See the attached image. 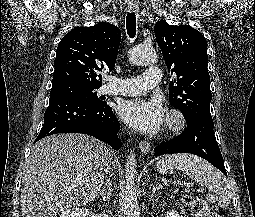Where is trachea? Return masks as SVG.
Listing matches in <instances>:
<instances>
[{
	"instance_id": "1",
	"label": "trachea",
	"mask_w": 255,
	"mask_h": 217,
	"mask_svg": "<svg viewBox=\"0 0 255 217\" xmlns=\"http://www.w3.org/2000/svg\"><path fill=\"white\" fill-rule=\"evenodd\" d=\"M126 28L130 38L136 35V16L135 13L129 12L126 17Z\"/></svg>"
}]
</instances>
